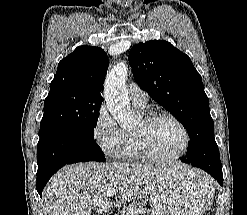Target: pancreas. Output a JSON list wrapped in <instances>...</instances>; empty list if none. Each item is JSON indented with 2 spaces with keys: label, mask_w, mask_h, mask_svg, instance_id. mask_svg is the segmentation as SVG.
<instances>
[{
  "label": "pancreas",
  "mask_w": 247,
  "mask_h": 215,
  "mask_svg": "<svg viewBox=\"0 0 247 215\" xmlns=\"http://www.w3.org/2000/svg\"><path fill=\"white\" fill-rule=\"evenodd\" d=\"M146 207L138 202L132 203L130 206L123 209L121 215H146Z\"/></svg>",
  "instance_id": "1"
}]
</instances>
